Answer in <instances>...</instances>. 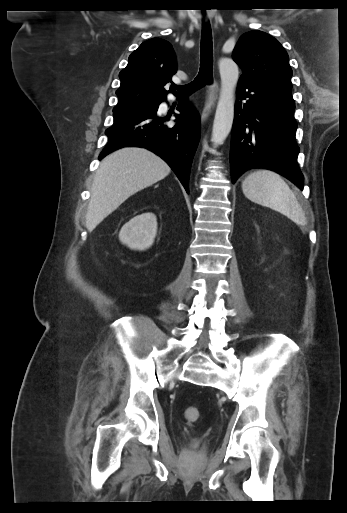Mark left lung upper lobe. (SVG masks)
<instances>
[{"instance_id":"5c2ea615","label":"left lung upper lobe","mask_w":347,"mask_h":513,"mask_svg":"<svg viewBox=\"0 0 347 513\" xmlns=\"http://www.w3.org/2000/svg\"><path fill=\"white\" fill-rule=\"evenodd\" d=\"M233 59L242 69L240 79L291 84L288 54L275 38L265 32L254 30L244 33L233 51Z\"/></svg>"}]
</instances>
